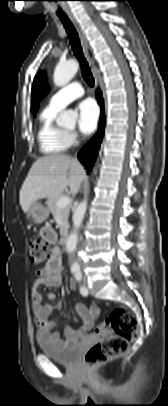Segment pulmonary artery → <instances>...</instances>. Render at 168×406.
<instances>
[{
    "label": "pulmonary artery",
    "instance_id": "pulmonary-artery-1",
    "mask_svg": "<svg viewBox=\"0 0 168 406\" xmlns=\"http://www.w3.org/2000/svg\"><path fill=\"white\" fill-rule=\"evenodd\" d=\"M83 94L84 89L82 84L78 81L71 82L51 96L49 106L56 109H62L73 100L81 97Z\"/></svg>",
    "mask_w": 168,
    "mask_h": 406
}]
</instances>
